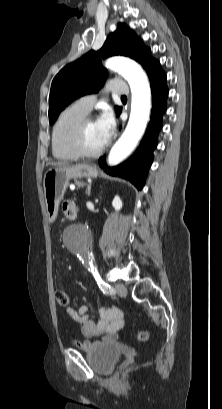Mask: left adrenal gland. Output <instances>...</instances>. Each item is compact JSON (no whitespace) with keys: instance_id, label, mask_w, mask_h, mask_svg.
<instances>
[{"instance_id":"left-adrenal-gland-1","label":"left adrenal gland","mask_w":222,"mask_h":409,"mask_svg":"<svg viewBox=\"0 0 222 409\" xmlns=\"http://www.w3.org/2000/svg\"><path fill=\"white\" fill-rule=\"evenodd\" d=\"M86 193L88 194V196H90V194H91V185L88 186Z\"/></svg>"}]
</instances>
